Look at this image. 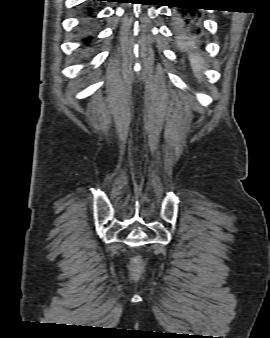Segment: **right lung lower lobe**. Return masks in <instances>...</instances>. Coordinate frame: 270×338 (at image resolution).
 Masks as SVG:
<instances>
[{
  "label": "right lung lower lobe",
  "mask_w": 270,
  "mask_h": 338,
  "mask_svg": "<svg viewBox=\"0 0 270 338\" xmlns=\"http://www.w3.org/2000/svg\"><path fill=\"white\" fill-rule=\"evenodd\" d=\"M97 1H104V0H97ZM96 17V12L93 6H91L90 4L86 7L85 10V20L84 23L82 24V28L83 30H91L92 29V22L93 19ZM91 40V38H87L84 41L86 43H89V41Z\"/></svg>",
  "instance_id": "1"
}]
</instances>
